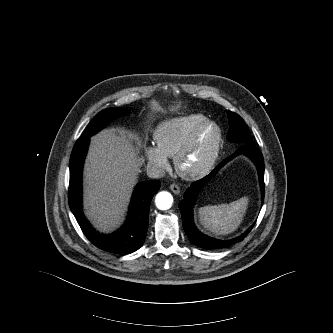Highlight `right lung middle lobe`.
I'll return each instance as SVG.
<instances>
[{
  "mask_svg": "<svg viewBox=\"0 0 333 333\" xmlns=\"http://www.w3.org/2000/svg\"><path fill=\"white\" fill-rule=\"evenodd\" d=\"M122 110L118 108H108L104 109L100 113H98L94 119L88 124L86 127L82 137H90L93 134L100 131L105 125L108 124L109 121L114 118L124 114Z\"/></svg>",
  "mask_w": 333,
  "mask_h": 333,
  "instance_id": "obj_1",
  "label": "right lung middle lobe"
}]
</instances>
